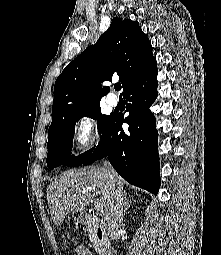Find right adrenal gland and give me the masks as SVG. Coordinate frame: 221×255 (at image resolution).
I'll return each mask as SVG.
<instances>
[{
    "label": "right adrenal gland",
    "mask_w": 221,
    "mask_h": 255,
    "mask_svg": "<svg viewBox=\"0 0 221 255\" xmlns=\"http://www.w3.org/2000/svg\"><path fill=\"white\" fill-rule=\"evenodd\" d=\"M123 207H124V213L126 211H128L130 205H129V199L127 198V192L124 191V203H123Z\"/></svg>",
    "instance_id": "1"
}]
</instances>
